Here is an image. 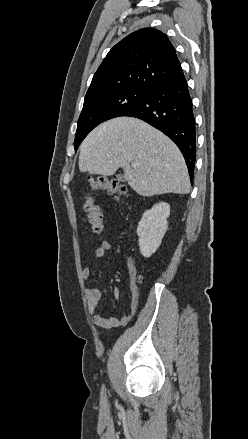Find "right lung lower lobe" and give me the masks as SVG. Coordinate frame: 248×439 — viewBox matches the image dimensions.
<instances>
[{
  "instance_id": "right-lung-lower-lobe-1",
  "label": "right lung lower lobe",
  "mask_w": 248,
  "mask_h": 439,
  "mask_svg": "<svg viewBox=\"0 0 248 439\" xmlns=\"http://www.w3.org/2000/svg\"><path fill=\"white\" fill-rule=\"evenodd\" d=\"M120 116L141 119L172 139L184 156L192 182L196 131L192 100L183 72L148 91Z\"/></svg>"
}]
</instances>
